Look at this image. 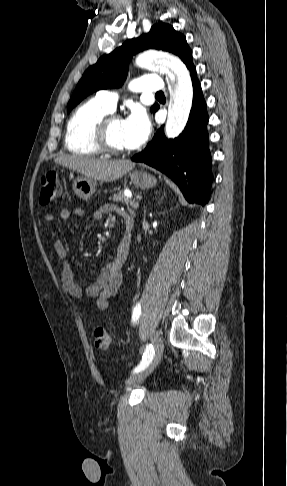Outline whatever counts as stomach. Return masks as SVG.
I'll use <instances>...</instances> for the list:
<instances>
[{
    "label": "stomach",
    "mask_w": 287,
    "mask_h": 486,
    "mask_svg": "<svg viewBox=\"0 0 287 486\" xmlns=\"http://www.w3.org/2000/svg\"><path fill=\"white\" fill-rule=\"evenodd\" d=\"M131 182L138 188L149 189L156 185L157 179L142 170H135L129 173ZM73 191L77 197L83 200L89 199L96 191V180L93 178L79 177L74 180Z\"/></svg>",
    "instance_id": "stomach-1"
}]
</instances>
